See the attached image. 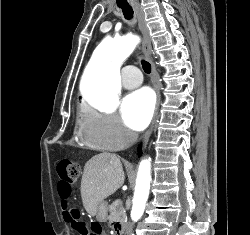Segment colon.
Masks as SVG:
<instances>
[{"label":"colon","mask_w":250,"mask_h":235,"mask_svg":"<svg viewBox=\"0 0 250 235\" xmlns=\"http://www.w3.org/2000/svg\"><path fill=\"white\" fill-rule=\"evenodd\" d=\"M57 174L59 176L58 193L60 201L65 206L72 192V186L78 180L80 175V167L71 160H62L57 165ZM65 221L71 225L74 231L80 234L86 228L81 222L79 216L74 209H66L63 212Z\"/></svg>","instance_id":"colon-1"}]
</instances>
